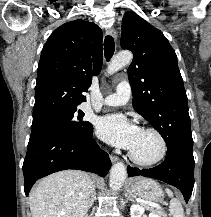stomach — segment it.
Here are the masks:
<instances>
[{"label": "stomach", "mask_w": 211, "mask_h": 217, "mask_svg": "<svg viewBox=\"0 0 211 217\" xmlns=\"http://www.w3.org/2000/svg\"><path fill=\"white\" fill-rule=\"evenodd\" d=\"M130 191L143 199L151 201H162L164 196L161 186L152 178L138 177L133 179Z\"/></svg>", "instance_id": "obj_1"}]
</instances>
